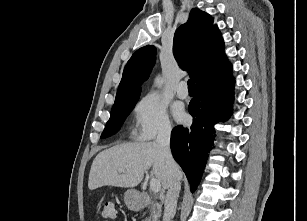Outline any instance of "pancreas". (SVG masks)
<instances>
[{
    "label": "pancreas",
    "mask_w": 307,
    "mask_h": 221,
    "mask_svg": "<svg viewBox=\"0 0 307 221\" xmlns=\"http://www.w3.org/2000/svg\"><path fill=\"white\" fill-rule=\"evenodd\" d=\"M161 217V205L157 202L152 201L150 203L149 215L145 217L143 221H159Z\"/></svg>",
    "instance_id": "1"
}]
</instances>
